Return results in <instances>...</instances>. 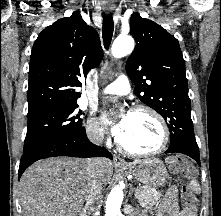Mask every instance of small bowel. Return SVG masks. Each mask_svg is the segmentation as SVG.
<instances>
[{"mask_svg":"<svg viewBox=\"0 0 221 216\" xmlns=\"http://www.w3.org/2000/svg\"><path fill=\"white\" fill-rule=\"evenodd\" d=\"M177 197V191L171 189L160 205L157 216H195L186 214L183 210H179Z\"/></svg>","mask_w":221,"mask_h":216,"instance_id":"c3829d8e","label":"small bowel"}]
</instances>
